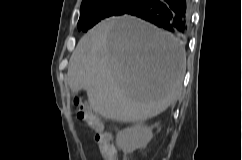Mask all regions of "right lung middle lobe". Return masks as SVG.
Masks as SVG:
<instances>
[{"instance_id":"right-lung-middle-lobe-1","label":"right lung middle lobe","mask_w":242,"mask_h":160,"mask_svg":"<svg viewBox=\"0 0 242 160\" xmlns=\"http://www.w3.org/2000/svg\"><path fill=\"white\" fill-rule=\"evenodd\" d=\"M141 0H83L78 29L87 32L102 19L125 14Z\"/></svg>"}]
</instances>
